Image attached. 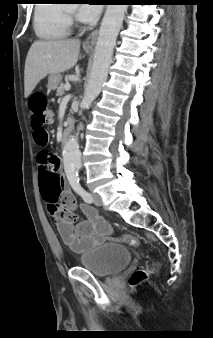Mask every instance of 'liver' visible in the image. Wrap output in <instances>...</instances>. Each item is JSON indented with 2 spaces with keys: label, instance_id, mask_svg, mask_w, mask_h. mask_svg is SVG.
<instances>
[{
  "label": "liver",
  "instance_id": "6515ba94",
  "mask_svg": "<svg viewBox=\"0 0 213 338\" xmlns=\"http://www.w3.org/2000/svg\"><path fill=\"white\" fill-rule=\"evenodd\" d=\"M80 45L78 39L35 41L25 61L24 96L27 98L47 75L73 68L78 61Z\"/></svg>",
  "mask_w": 213,
  "mask_h": 338
}]
</instances>
